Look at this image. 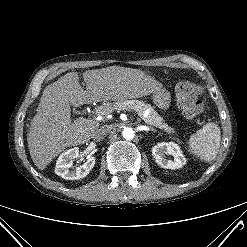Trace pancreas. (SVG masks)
Instances as JSON below:
<instances>
[{"label":"pancreas","mask_w":247,"mask_h":247,"mask_svg":"<svg viewBox=\"0 0 247 247\" xmlns=\"http://www.w3.org/2000/svg\"><path fill=\"white\" fill-rule=\"evenodd\" d=\"M103 107L112 108L123 111H135L143 119V121L149 125L158 127L164 130L168 134H174L173 128L169 127L167 123L163 122V118L151 107V105L140 100H120L114 103L113 107L109 104H105ZM149 110L148 114L144 116V113Z\"/></svg>","instance_id":"1"}]
</instances>
